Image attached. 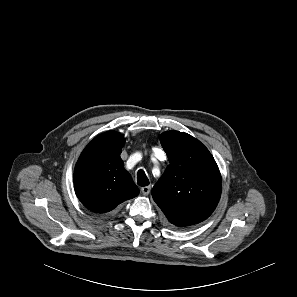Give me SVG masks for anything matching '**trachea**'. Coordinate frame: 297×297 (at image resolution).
<instances>
[{
    "label": "trachea",
    "instance_id": "trachea-1",
    "mask_svg": "<svg viewBox=\"0 0 297 297\" xmlns=\"http://www.w3.org/2000/svg\"><path fill=\"white\" fill-rule=\"evenodd\" d=\"M137 183L140 186L149 185V180H148L145 172L142 169L137 172Z\"/></svg>",
    "mask_w": 297,
    "mask_h": 297
}]
</instances>
